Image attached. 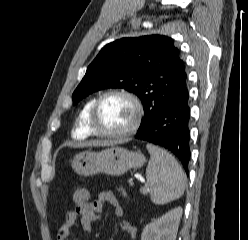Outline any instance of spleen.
I'll use <instances>...</instances> for the list:
<instances>
[{"label": "spleen", "instance_id": "3e777b00", "mask_svg": "<svg viewBox=\"0 0 248 240\" xmlns=\"http://www.w3.org/2000/svg\"><path fill=\"white\" fill-rule=\"evenodd\" d=\"M146 148L151 155L146 179L152 202L163 205L179 199L186 187V178L181 166L164 149L152 144H147Z\"/></svg>", "mask_w": 248, "mask_h": 240}]
</instances>
